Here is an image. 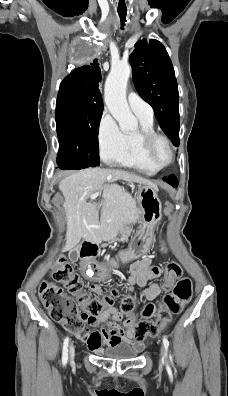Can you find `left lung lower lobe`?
<instances>
[{"label":"left lung lower lobe","mask_w":228,"mask_h":396,"mask_svg":"<svg viewBox=\"0 0 228 396\" xmlns=\"http://www.w3.org/2000/svg\"><path fill=\"white\" fill-rule=\"evenodd\" d=\"M163 181H166L167 183H169L173 187H177V185H178V181H177V179L174 176L164 177Z\"/></svg>","instance_id":"obj_1"}]
</instances>
